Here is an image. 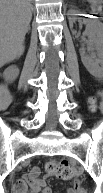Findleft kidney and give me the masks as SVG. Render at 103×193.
I'll return each instance as SVG.
<instances>
[{"instance_id": "1", "label": "left kidney", "mask_w": 103, "mask_h": 193, "mask_svg": "<svg viewBox=\"0 0 103 193\" xmlns=\"http://www.w3.org/2000/svg\"><path fill=\"white\" fill-rule=\"evenodd\" d=\"M70 27L72 23L79 18L75 16H84L78 10L71 9L68 11ZM80 22L87 25L86 34L89 36L90 49L92 55L85 54L84 49H80L81 60L88 72L96 78H101L103 75V32L102 25L96 19L88 20L83 19Z\"/></svg>"}]
</instances>
